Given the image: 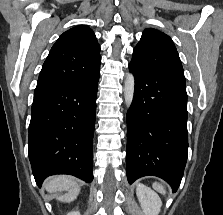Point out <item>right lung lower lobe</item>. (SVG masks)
<instances>
[{
  "label": "right lung lower lobe",
  "instance_id": "obj_1",
  "mask_svg": "<svg viewBox=\"0 0 223 215\" xmlns=\"http://www.w3.org/2000/svg\"><path fill=\"white\" fill-rule=\"evenodd\" d=\"M100 72L35 94L29 125V159L39 187L54 174L93 180V133Z\"/></svg>",
  "mask_w": 223,
  "mask_h": 215
}]
</instances>
